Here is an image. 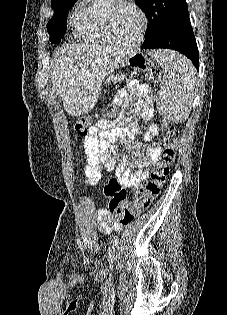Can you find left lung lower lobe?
<instances>
[{
    "mask_svg": "<svg viewBox=\"0 0 227 315\" xmlns=\"http://www.w3.org/2000/svg\"><path fill=\"white\" fill-rule=\"evenodd\" d=\"M142 48L177 50L187 56L199 70L198 48L189 19L169 25L154 38L145 40Z\"/></svg>",
    "mask_w": 227,
    "mask_h": 315,
    "instance_id": "left-lung-lower-lobe-1",
    "label": "left lung lower lobe"
}]
</instances>
